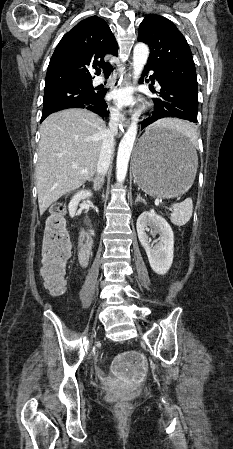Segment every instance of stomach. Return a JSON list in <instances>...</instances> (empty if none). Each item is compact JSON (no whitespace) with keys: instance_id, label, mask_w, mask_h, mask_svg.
<instances>
[{"instance_id":"stomach-1","label":"stomach","mask_w":233,"mask_h":449,"mask_svg":"<svg viewBox=\"0 0 233 449\" xmlns=\"http://www.w3.org/2000/svg\"><path fill=\"white\" fill-rule=\"evenodd\" d=\"M196 167V150L184 133H173L171 127L154 124L135 148L132 172L145 193L170 198L190 188Z\"/></svg>"}]
</instances>
